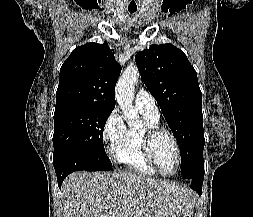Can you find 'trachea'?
<instances>
[{
    "label": "trachea",
    "mask_w": 253,
    "mask_h": 217,
    "mask_svg": "<svg viewBox=\"0 0 253 217\" xmlns=\"http://www.w3.org/2000/svg\"><path fill=\"white\" fill-rule=\"evenodd\" d=\"M128 11L130 12V14H133L137 11V8H128Z\"/></svg>",
    "instance_id": "3493384b"
}]
</instances>
